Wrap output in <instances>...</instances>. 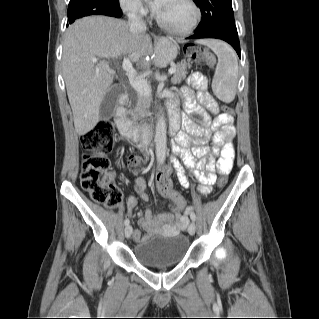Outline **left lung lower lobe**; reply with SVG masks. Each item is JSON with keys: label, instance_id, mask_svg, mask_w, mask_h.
<instances>
[{"label": "left lung lower lobe", "instance_id": "left-lung-lower-lobe-1", "mask_svg": "<svg viewBox=\"0 0 319 319\" xmlns=\"http://www.w3.org/2000/svg\"><path fill=\"white\" fill-rule=\"evenodd\" d=\"M198 38H216L221 39L229 43L237 52L240 57V43L238 39V33H232L223 30H211L206 32H196L194 35L188 37L187 39H198Z\"/></svg>", "mask_w": 319, "mask_h": 319}]
</instances>
